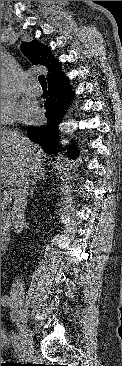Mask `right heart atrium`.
Returning a JSON list of instances; mask_svg holds the SVG:
<instances>
[{
	"instance_id": "obj_1",
	"label": "right heart atrium",
	"mask_w": 122,
	"mask_h": 366,
	"mask_svg": "<svg viewBox=\"0 0 122 366\" xmlns=\"http://www.w3.org/2000/svg\"><path fill=\"white\" fill-rule=\"evenodd\" d=\"M15 106L10 100L1 97V127L13 124Z\"/></svg>"
}]
</instances>
